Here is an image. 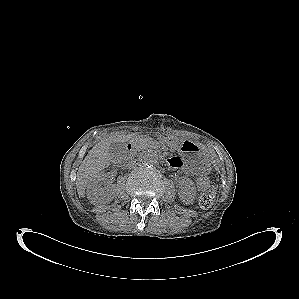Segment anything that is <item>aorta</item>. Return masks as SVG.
Masks as SVG:
<instances>
[{
	"label": "aorta",
	"mask_w": 299,
	"mask_h": 299,
	"mask_svg": "<svg viewBox=\"0 0 299 299\" xmlns=\"http://www.w3.org/2000/svg\"><path fill=\"white\" fill-rule=\"evenodd\" d=\"M142 162L146 165H157L159 163V154L155 150H147L142 155Z\"/></svg>",
	"instance_id": "obj_1"
}]
</instances>
